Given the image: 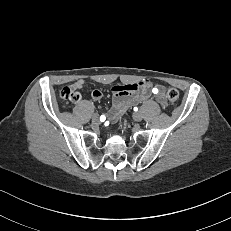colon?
Listing matches in <instances>:
<instances>
[{"mask_svg": "<svg viewBox=\"0 0 231 231\" xmlns=\"http://www.w3.org/2000/svg\"><path fill=\"white\" fill-rule=\"evenodd\" d=\"M167 98L174 102L179 98V92L175 88H167L166 90ZM61 98L67 102L76 103L81 99V94L78 90L73 87H65L61 91Z\"/></svg>", "mask_w": 231, "mask_h": 231, "instance_id": "obj_1", "label": "colon"}]
</instances>
